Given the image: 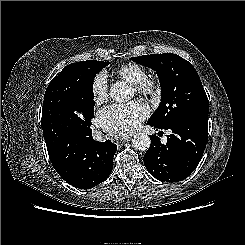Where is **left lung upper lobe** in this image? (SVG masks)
Returning a JSON list of instances; mask_svg holds the SVG:
<instances>
[{
	"label": "left lung upper lobe",
	"mask_w": 245,
	"mask_h": 245,
	"mask_svg": "<svg viewBox=\"0 0 245 245\" xmlns=\"http://www.w3.org/2000/svg\"><path fill=\"white\" fill-rule=\"evenodd\" d=\"M132 60L155 70L160 81L161 102L148 122L164 128L192 115H208L207 95L198 73L187 60L173 53L132 57Z\"/></svg>",
	"instance_id": "obj_1"
}]
</instances>
